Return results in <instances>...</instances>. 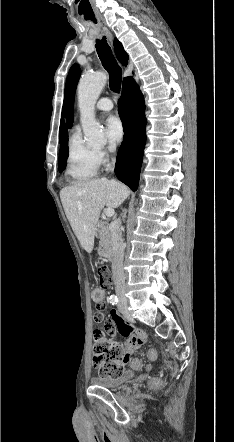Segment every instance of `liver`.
Listing matches in <instances>:
<instances>
[{"label":"liver","mask_w":234,"mask_h":442,"mask_svg":"<svg viewBox=\"0 0 234 442\" xmlns=\"http://www.w3.org/2000/svg\"><path fill=\"white\" fill-rule=\"evenodd\" d=\"M128 195L127 186L106 178L77 182L60 191L67 219L88 253L93 250L95 230L103 207L117 208Z\"/></svg>","instance_id":"obj_1"}]
</instances>
